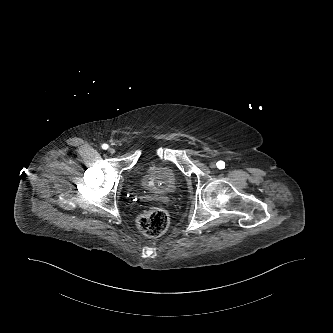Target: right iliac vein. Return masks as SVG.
<instances>
[{
    "mask_svg": "<svg viewBox=\"0 0 333 333\" xmlns=\"http://www.w3.org/2000/svg\"><path fill=\"white\" fill-rule=\"evenodd\" d=\"M109 152L111 153V154H114L115 153V149L114 148H109Z\"/></svg>",
    "mask_w": 333,
    "mask_h": 333,
    "instance_id": "obj_1",
    "label": "right iliac vein"
}]
</instances>
